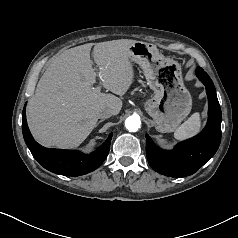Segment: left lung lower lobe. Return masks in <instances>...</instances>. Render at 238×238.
<instances>
[{
	"instance_id": "obj_1",
	"label": "left lung lower lobe",
	"mask_w": 238,
	"mask_h": 238,
	"mask_svg": "<svg viewBox=\"0 0 238 238\" xmlns=\"http://www.w3.org/2000/svg\"><path fill=\"white\" fill-rule=\"evenodd\" d=\"M196 76L206 86L208 96V122L197 136L183 141L173 150L158 148L146 135V155L150 166L169 177L192 175L217 151L221 141V109L213 82L200 67Z\"/></svg>"
}]
</instances>
